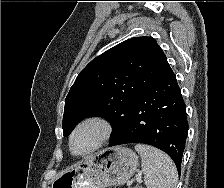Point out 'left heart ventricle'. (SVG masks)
<instances>
[{
	"instance_id": "left-heart-ventricle-1",
	"label": "left heart ventricle",
	"mask_w": 224,
	"mask_h": 188,
	"mask_svg": "<svg viewBox=\"0 0 224 188\" xmlns=\"http://www.w3.org/2000/svg\"><path fill=\"white\" fill-rule=\"evenodd\" d=\"M101 132V128L96 124L83 126L74 137L73 151L81 154L91 149L99 140Z\"/></svg>"
}]
</instances>
